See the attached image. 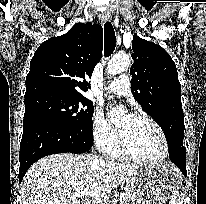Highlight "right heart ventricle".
<instances>
[{
    "label": "right heart ventricle",
    "instance_id": "obj_1",
    "mask_svg": "<svg viewBox=\"0 0 206 204\" xmlns=\"http://www.w3.org/2000/svg\"><path fill=\"white\" fill-rule=\"evenodd\" d=\"M113 158H124L125 155L121 151L118 142L107 152Z\"/></svg>",
    "mask_w": 206,
    "mask_h": 204
}]
</instances>
